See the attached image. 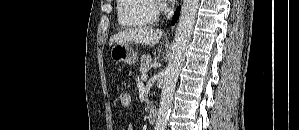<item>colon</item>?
Here are the masks:
<instances>
[{"mask_svg": "<svg viewBox=\"0 0 299 130\" xmlns=\"http://www.w3.org/2000/svg\"><path fill=\"white\" fill-rule=\"evenodd\" d=\"M131 94L129 92H122L119 96L120 105L127 108L131 104Z\"/></svg>", "mask_w": 299, "mask_h": 130, "instance_id": "5ec220e1", "label": "colon"}]
</instances>
